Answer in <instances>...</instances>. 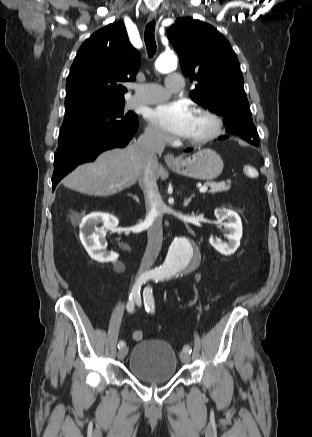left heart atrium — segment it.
I'll list each match as a JSON object with an SVG mask.
<instances>
[{
	"label": "left heart atrium",
	"mask_w": 312,
	"mask_h": 437,
	"mask_svg": "<svg viewBox=\"0 0 312 437\" xmlns=\"http://www.w3.org/2000/svg\"><path fill=\"white\" fill-rule=\"evenodd\" d=\"M192 110L182 102L158 105L148 114V119L160 129L178 137H186L191 129Z\"/></svg>",
	"instance_id": "39dd6f15"
}]
</instances>
